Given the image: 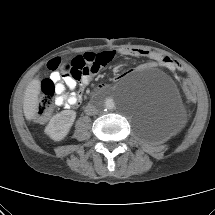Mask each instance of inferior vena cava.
<instances>
[{"mask_svg": "<svg viewBox=\"0 0 215 215\" xmlns=\"http://www.w3.org/2000/svg\"><path fill=\"white\" fill-rule=\"evenodd\" d=\"M98 109L94 105H87L85 107V113L88 115H94L97 114Z\"/></svg>", "mask_w": 215, "mask_h": 215, "instance_id": "obj_1", "label": "inferior vena cava"}]
</instances>
